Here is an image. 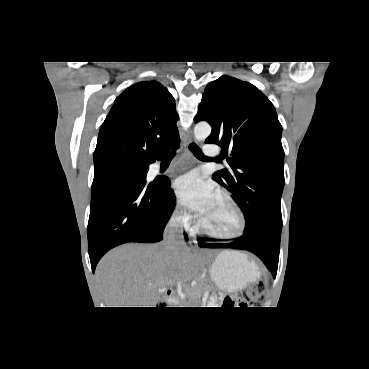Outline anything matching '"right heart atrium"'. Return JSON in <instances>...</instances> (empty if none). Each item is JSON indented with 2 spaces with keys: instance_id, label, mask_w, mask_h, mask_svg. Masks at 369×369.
Instances as JSON below:
<instances>
[{
  "instance_id": "d8ad5b80",
  "label": "right heart atrium",
  "mask_w": 369,
  "mask_h": 369,
  "mask_svg": "<svg viewBox=\"0 0 369 369\" xmlns=\"http://www.w3.org/2000/svg\"><path fill=\"white\" fill-rule=\"evenodd\" d=\"M174 215L177 221L184 225H187L190 219L189 214L181 207L180 204H176L174 209Z\"/></svg>"
}]
</instances>
